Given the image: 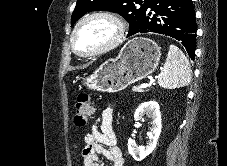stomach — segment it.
I'll return each mask as SVG.
<instances>
[{
    "label": "stomach",
    "instance_id": "0dacf381",
    "mask_svg": "<svg viewBox=\"0 0 227 166\" xmlns=\"http://www.w3.org/2000/svg\"><path fill=\"white\" fill-rule=\"evenodd\" d=\"M160 50L153 40L135 37L123 46L116 58L108 59L92 75L82 78V85L100 92H119L154 72Z\"/></svg>",
    "mask_w": 227,
    "mask_h": 166
}]
</instances>
